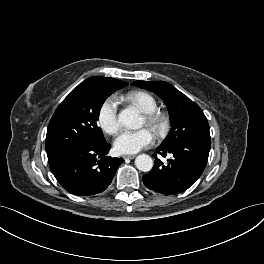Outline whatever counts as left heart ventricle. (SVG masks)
<instances>
[{
    "instance_id": "left-heart-ventricle-1",
    "label": "left heart ventricle",
    "mask_w": 264,
    "mask_h": 264,
    "mask_svg": "<svg viewBox=\"0 0 264 264\" xmlns=\"http://www.w3.org/2000/svg\"><path fill=\"white\" fill-rule=\"evenodd\" d=\"M142 123L145 124V120H144V118H143V120H142Z\"/></svg>"
}]
</instances>
